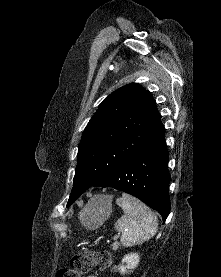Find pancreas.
Masks as SVG:
<instances>
[{
  "label": "pancreas",
  "mask_w": 221,
  "mask_h": 277,
  "mask_svg": "<svg viewBox=\"0 0 221 277\" xmlns=\"http://www.w3.org/2000/svg\"><path fill=\"white\" fill-rule=\"evenodd\" d=\"M115 248H117V244H114V245H113V249H115Z\"/></svg>",
  "instance_id": "obj_1"
}]
</instances>
